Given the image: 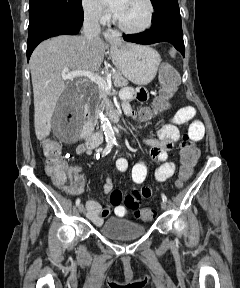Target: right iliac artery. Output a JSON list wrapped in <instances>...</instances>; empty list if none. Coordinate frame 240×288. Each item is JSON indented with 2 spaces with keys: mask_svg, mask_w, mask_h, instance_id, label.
<instances>
[{
  "mask_svg": "<svg viewBox=\"0 0 240 288\" xmlns=\"http://www.w3.org/2000/svg\"><path fill=\"white\" fill-rule=\"evenodd\" d=\"M113 144H114L113 141H109V142L107 143V146L105 147L104 151L102 152V157H103V156H106V155L111 151V149H112V147H113ZM79 204H80V198H78V199L76 200V206H79Z\"/></svg>",
  "mask_w": 240,
  "mask_h": 288,
  "instance_id": "1",
  "label": "right iliac artery"
}]
</instances>
